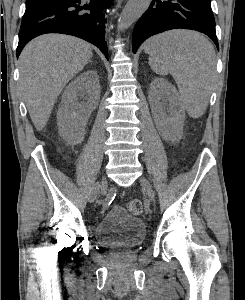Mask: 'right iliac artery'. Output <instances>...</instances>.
Segmentation results:
<instances>
[{"mask_svg": "<svg viewBox=\"0 0 245 300\" xmlns=\"http://www.w3.org/2000/svg\"><path fill=\"white\" fill-rule=\"evenodd\" d=\"M107 190H108V187H107V186H104V187H103V190H102V193H103V194H106V193H107Z\"/></svg>", "mask_w": 245, "mask_h": 300, "instance_id": "right-iliac-artery-1", "label": "right iliac artery"}]
</instances>
